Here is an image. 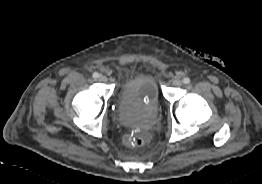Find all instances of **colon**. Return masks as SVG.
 Segmentation results:
<instances>
[{"label":"colon","instance_id":"1","mask_svg":"<svg viewBox=\"0 0 262 184\" xmlns=\"http://www.w3.org/2000/svg\"><path fill=\"white\" fill-rule=\"evenodd\" d=\"M145 139L141 135L135 134L128 139V143L134 147H142L145 144Z\"/></svg>","mask_w":262,"mask_h":184}]
</instances>
